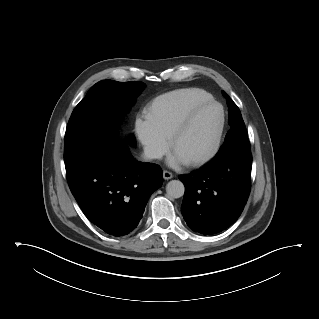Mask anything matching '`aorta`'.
I'll list each match as a JSON object with an SVG mask.
<instances>
[{
  "mask_svg": "<svg viewBox=\"0 0 319 319\" xmlns=\"http://www.w3.org/2000/svg\"><path fill=\"white\" fill-rule=\"evenodd\" d=\"M184 184L179 180H171L166 185V192L171 198H180L184 195Z\"/></svg>",
  "mask_w": 319,
  "mask_h": 319,
  "instance_id": "762f6f07",
  "label": "aorta"
}]
</instances>
